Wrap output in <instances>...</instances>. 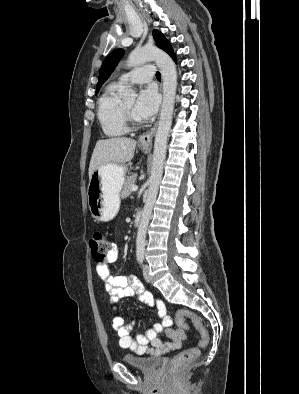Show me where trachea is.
Here are the masks:
<instances>
[{
	"instance_id": "1",
	"label": "trachea",
	"mask_w": 299,
	"mask_h": 394,
	"mask_svg": "<svg viewBox=\"0 0 299 394\" xmlns=\"http://www.w3.org/2000/svg\"><path fill=\"white\" fill-rule=\"evenodd\" d=\"M156 78H157V79H161V74H160V72H157V73H156Z\"/></svg>"
}]
</instances>
